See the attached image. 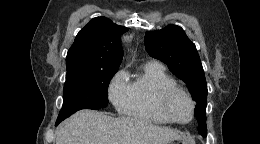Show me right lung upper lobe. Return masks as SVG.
Here are the masks:
<instances>
[{"instance_id":"cb5924a9","label":"right lung upper lobe","mask_w":260,"mask_h":144,"mask_svg":"<svg viewBox=\"0 0 260 144\" xmlns=\"http://www.w3.org/2000/svg\"><path fill=\"white\" fill-rule=\"evenodd\" d=\"M127 30L106 17L93 18L67 53V74L118 69L123 58L120 35Z\"/></svg>"}]
</instances>
